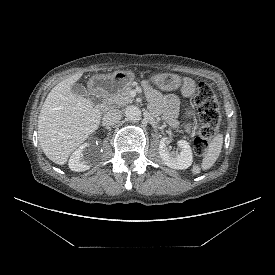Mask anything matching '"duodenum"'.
I'll return each mask as SVG.
<instances>
[{
	"instance_id": "410a0bca",
	"label": "duodenum",
	"mask_w": 275,
	"mask_h": 275,
	"mask_svg": "<svg viewBox=\"0 0 275 275\" xmlns=\"http://www.w3.org/2000/svg\"><path fill=\"white\" fill-rule=\"evenodd\" d=\"M96 97L99 99V109L102 112L108 110V102L107 99L102 91H96Z\"/></svg>"
}]
</instances>
